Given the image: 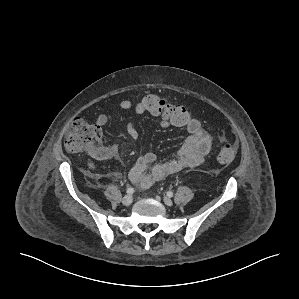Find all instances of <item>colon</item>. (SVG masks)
I'll use <instances>...</instances> for the list:
<instances>
[{
	"instance_id": "colon-1",
	"label": "colon",
	"mask_w": 299,
	"mask_h": 299,
	"mask_svg": "<svg viewBox=\"0 0 299 299\" xmlns=\"http://www.w3.org/2000/svg\"><path fill=\"white\" fill-rule=\"evenodd\" d=\"M146 113L165 120L175 127H185L195 117L185 106L171 103L154 93H146L140 98ZM102 136L99 127L77 118L69 126L64 145L68 152H87L94 155L101 150ZM236 146L221 139L217 159L222 164H230L236 157Z\"/></svg>"
}]
</instances>
